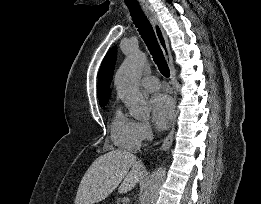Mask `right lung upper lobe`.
<instances>
[{
  "mask_svg": "<svg viewBox=\"0 0 261 204\" xmlns=\"http://www.w3.org/2000/svg\"><path fill=\"white\" fill-rule=\"evenodd\" d=\"M117 58V47L114 46L105 56L98 74V99L99 102H108L110 98V83L113 78Z\"/></svg>",
  "mask_w": 261,
  "mask_h": 204,
  "instance_id": "obj_1",
  "label": "right lung upper lobe"
}]
</instances>
